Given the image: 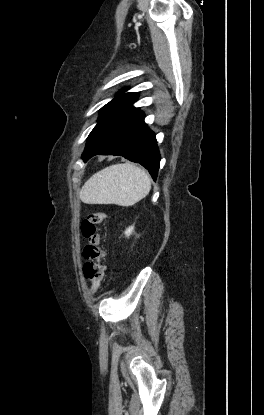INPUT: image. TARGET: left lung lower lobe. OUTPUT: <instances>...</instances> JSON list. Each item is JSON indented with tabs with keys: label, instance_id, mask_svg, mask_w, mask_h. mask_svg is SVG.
<instances>
[{
	"label": "left lung lower lobe",
	"instance_id": "0a47b994",
	"mask_svg": "<svg viewBox=\"0 0 264 415\" xmlns=\"http://www.w3.org/2000/svg\"><path fill=\"white\" fill-rule=\"evenodd\" d=\"M132 96L104 112L90 133L82 158L97 154L120 155L144 166L156 180L160 154L155 134L144 122L145 115L132 104Z\"/></svg>",
	"mask_w": 264,
	"mask_h": 415
}]
</instances>
